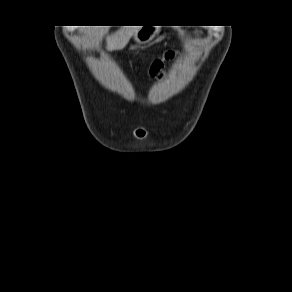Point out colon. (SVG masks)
I'll return each instance as SVG.
<instances>
[{
  "instance_id": "5ec220e1",
  "label": "colon",
  "mask_w": 292,
  "mask_h": 292,
  "mask_svg": "<svg viewBox=\"0 0 292 292\" xmlns=\"http://www.w3.org/2000/svg\"><path fill=\"white\" fill-rule=\"evenodd\" d=\"M157 69H158V65H156V66L154 67L153 72H156Z\"/></svg>"
}]
</instances>
